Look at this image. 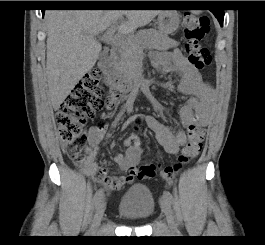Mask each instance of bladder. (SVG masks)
<instances>
[{"mask_svg":"<svg viewBox=\"0 0 265 245\" xmlns=\"http://www.w3.org/2000/svg\"><path fill=\"white\" fill-rule=\"evenodd\" d=\"M155 201L147 186L135 184L123 194L117 211L133 221H143L152 215Z\"/></svg>","mask_w":265,"mask_h":245,"instance_id":"31cf9c89","label":"bladder"}]
</instances>
